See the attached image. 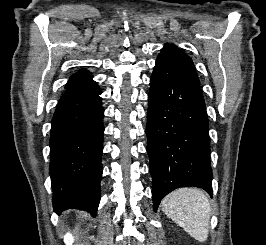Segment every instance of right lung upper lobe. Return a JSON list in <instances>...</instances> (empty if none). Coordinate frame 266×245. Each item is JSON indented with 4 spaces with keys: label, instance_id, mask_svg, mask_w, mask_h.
Here are the masks:
<instances>
[{
    "label": "right lung upper lobe",
    "instance_id": "obj_1",
    "mask_svg": "<svg viewBox=\"0 0 266 245\" xmlns=\"http://www.w3.org/2000/svg\"><path fill=\"white\" fill-rule=\"evenodd\" d=\"M90 80H92V74L86 69H81L80 71L76 72L70 77L65 88H69L75 84H79Z\"/></svg>",
    "mask_w": 266,
    "mask_h": 245
}]
</instances>
